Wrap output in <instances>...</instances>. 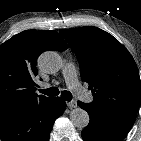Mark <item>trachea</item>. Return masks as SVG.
Instances as JSON below:
<instances>
[{
  "label": "trachea",
  "mask_w": 141,
  "mask_h": 141,
  "mask_svg": "<svg viewBox=\"0 0 141 141\" xmlns=\"http://www.w3.org/2000/svg\"><path fill=\"white\" fill-rule=\"evenodd\" d=\"M40 93L45 94L47 96H57L59 94V89L57 87H51L46 90H39ZM61 96L66 100V101H71L72 99V94L69 91H62Z\"/></svg>",
  "instance_id": "3493384b"
}]
</instances>
